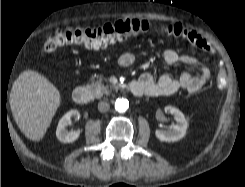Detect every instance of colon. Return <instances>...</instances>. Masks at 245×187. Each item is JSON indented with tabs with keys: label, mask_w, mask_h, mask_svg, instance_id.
Segmentation results:
<instances>
[{
	"label": "colon",
	"mask_w": 245,
	"mask_h": 187,
	"mask_svg": "<svg viewBox=\"0 0 245 187\" xmlns=\"http://www.w3.org/2000/svg\"><path fill=\"white\" fill-rule=\"evenodd\" d=\"M154 27V24L146 20L124 19L107 23L100 27L62 28L45 37L42 50L44 52H51L60 46L71 44L88 48H101L147 32ZM157 28L172 37L184 39L199 49L208 52L212 51L211 46L201 35L181 24L160 25ZM217 82L219 86H224V78L221 73L217 76Z\"/></svg>",
	"instance_id": "5ec220e1"
}]
</instances>
